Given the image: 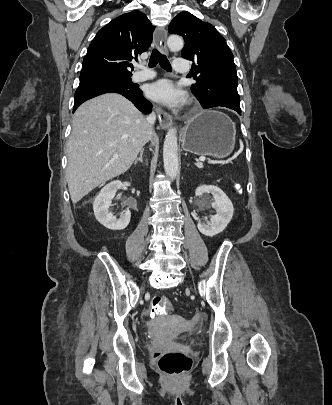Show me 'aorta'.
Listing matches in <instances>:
<instances>
[{"mask_svg": "<svg viewBox=\"0 0 332 405\" xmlns=\"http://www.w3.org/2000/svg\"><path fill=\"white\" fill-rule=\"evenodd\" d=\"M167 45L171 51L177 52L183 48L184 42L180 36L172 35L168 38ZM163 162L166 175L172 180L175 179L179 172L177 132L175 128H171L165 136Z\"/></svg>", "mask_w": 332, "mask_h": 405, "instance_id": "762f6f07", "label": "aorta"}]
</instances>
